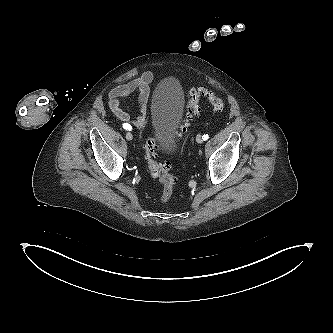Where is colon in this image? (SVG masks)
<instances>
[{
    "label": "colon",
    "instance_id": "1",
    "mask_svg": "<svg viewBox=\"0 0 333 333\" xmlns=\"http://www.w3.org/2000/svg\"><path fill=\"white\" fill-rule=\"evenodd\" d=\"M202 100H207L212 108L216 111H221L224 109L225 103L220 96L202 87L192 88L189 92V98L187 102V116L189 119L197 116L200 111V103ZM184 129L185 126L180 128L178 136H180ZM157 150V141L154 138H149L145 145V160L147 163V171L152 179L157 180L162 185L160 199L162 201H168L172 196L173 188L177 180L170 173L171 165L169 162L160 163L157 161Z\"/></svg>",
    "mask_w": 333,
    "mask_h": 333
}]
</instances>
